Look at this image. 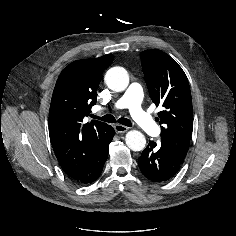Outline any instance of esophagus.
<instances>
[{
	"mask_svg": "<svg viewBox=\"0 0 236 236\" xmlns=\"http://www.w3.org/2000/svg\"><path fill=\"white\" fill-rule=\"evenodd\" d=\"M115 132L116 133H124L126 132L129 128L120 124H116L114 126Z\"/></svg>",
	"mask_w": 236,
	"mask_h": 236,
	"instance_id": "esophagus-1",
	"label": "esophagus"
}]
</instances>
